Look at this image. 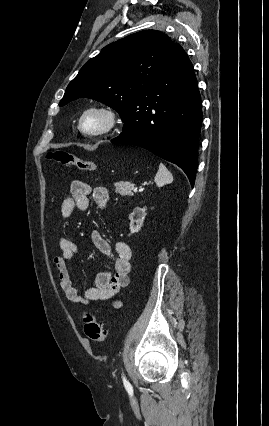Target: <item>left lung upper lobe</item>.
<instances>
[{"mask_svg":"<svg viewBox=\"0 0 269 426\" xmlns=\"http://www.w3.org/2000/svg\"><path fill=\"white\" fill-rule=\"evenodd\" d=\"M174 43L164 33L145 30L104 47L69 83L59 105L88 97L115 109L122 121L127 108L149 89L152 76Z\"/></svg>","mask_w":269,"mask_h":426,"instance_id":"1","label":"left lung upper lobe"}]
</instances>
